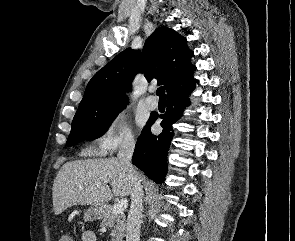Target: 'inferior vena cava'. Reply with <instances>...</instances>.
<instances>
[{
    "label": "inferior vena cava",
    "instance_id": "602c4592",
    "mask_svg": "<svg viewBox=\"0 0 295 241\" xmlns=\"http://www.w3.org/2000/svg\"><path fill=\"white\" fill-rule=\"evenodd\" d=\"M135 141L132 136L125 137L119 146L117 158L128 171L131 183V206L127 217L126 241H140V225L142 214L143 190L138 172L134 169L131 159Z\"/></svg>",
    "mask_w": 295,
    "mask_h": 241
}]
</instances>
